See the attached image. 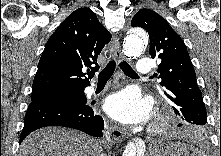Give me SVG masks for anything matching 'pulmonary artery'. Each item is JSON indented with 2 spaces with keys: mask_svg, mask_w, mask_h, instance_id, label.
I'll return each mask as SVG.
<instances>
[{
  "mask_svg": "<svg viewBox=\"0 0 221 156\" xmlns=\"http://www.w3.org/2000/svg\"><path fill=\"white\" fill-rule=\"evenodd\" d=\"M137 73L139 75H148L152 72V63L148 58H141L137 63ZM92 87L90 90L92 91Z\"/></svg>",
  "mask_w": 221,
  "mask_h": 156,
  "instance_id": "pulmonary-artery-1",
  "label": "pulmonary artery"
}]
</instances>
